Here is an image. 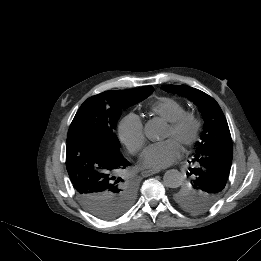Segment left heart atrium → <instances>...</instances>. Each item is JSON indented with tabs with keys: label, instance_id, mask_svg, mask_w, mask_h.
<instances>
[{
	"label": "left heart atrium",
	"instance_id": "obj_1",
	"mask_svg": "<svg viewBox=\"0 0 261 261\" xmlns=\"http://www.w3.org/2000/svg\"><path fill=\"white\" fill-rule=\"evenodd\" d=\"M181 155V144L173 137L150 144L141 156L146 168L161 169L171 165Z\"/></svg>",
	"mask_w": 261,
	"mask_h": 261
}]
</instances>
